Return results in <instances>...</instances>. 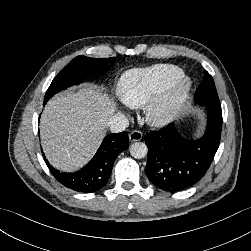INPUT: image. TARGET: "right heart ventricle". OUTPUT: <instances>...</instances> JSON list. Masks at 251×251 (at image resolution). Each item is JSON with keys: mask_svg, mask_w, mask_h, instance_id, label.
I'll list each match as a JSON object with an SVG mask.
<instances>
[{"mask_svg": "<svg viewBox=\"0 0 251 251\" xmlns=\"http://www.w3.org/2000/svg\"><path fill=\"white\" fill-rule=\"evenodd\" d=\"M182 75V69L172 64H156L132 69L121 75L117 93L125 105L139 108Z\"/></svg>", "mask_w": 251, "mask_h": 251, "instance_id": "right-heart-ventricle-1", "label": "right heart ventricle"}]
</instances>
